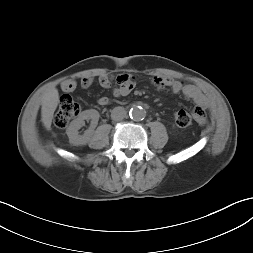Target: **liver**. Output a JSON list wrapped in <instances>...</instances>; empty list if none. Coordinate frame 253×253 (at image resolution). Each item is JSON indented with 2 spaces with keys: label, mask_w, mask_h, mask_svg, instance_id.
<instances>
[{
  "label": "liver",
  "mask_w": 253,
  "mask_h": 253,
  "mask_svg": "<svg viewBox=\"0 0 253 253\" xmlns=\"http://www.w3.org/2000/svg\"><path fill=\"white\" fill-rule=\"evenodd\" d=\"M59 93L56 88H51L42 97L41 121L47 130L51 129L53 114L58 106Z\"/></svg>",
  "instance_id": "6515ba94"
}]
</instances>
